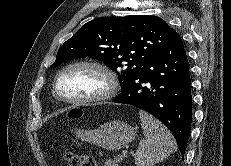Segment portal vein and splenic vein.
<instances>
[{
  "mask_svg": "<svg viewBox=\"0 0 231 166\" xmlns=\"http://www.w3.org/2000/svg\"><path fill=\"white\" fill-rule=\"evenodd\" d=\"M126 155H127V151L123 150L122 151V156H126ZM122 156H120V157H122Z\"/></svg>",
  "mask_w": 231,
  "mask_h": 166,
  "instance_id": "portal-vein-and-splenic-vein-1",
  "label": "portal vein and splenic vein"
}]
</instances>
